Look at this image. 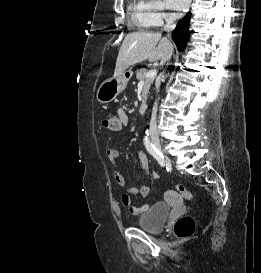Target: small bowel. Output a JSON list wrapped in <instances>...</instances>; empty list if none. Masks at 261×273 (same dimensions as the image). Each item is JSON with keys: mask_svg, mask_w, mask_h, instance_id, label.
Returning <instances> with one entry per match:
<instances>
[{"mask_svg": "<svg viewBox=\"0 0 261 273\" xmlns=\"http://www.w3.org/2000/svg\"><path fill=\"white\" fill-rule=\"evenodd\" d=\"M116 116L119 117L120 122H121V126H128L129 125L130 118L124 109H122V108L118 109ZM106 156L114 167V179H115L116 184L121 188H125V186H126L125 176L123 175V173L119 170V168L117 166V159L120 156V151L116 148H109L106 151ZM138 161H139L141 174L144 179H147L148 175H149V162H148L147 155L143 150H140L138 152ZM149 192H150L149 185L146 182H143L140 185V188H137L134 186L127 188L125 193L121 196V202L125 207L129 208V211L132 214H134V215L141 214L147 210L149 205L144 204L140 207L133 206L132 201H131V195H136V194L140 193L142 196L146 197L149 194Z\"/></svg>", "mask_w": 261, "mask_h": 273, "instance_id": "small-bowel-1", "label": "small bowel"}]
</instances>
